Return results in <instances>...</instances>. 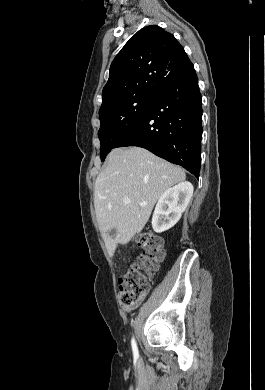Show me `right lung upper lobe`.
I'll return each mask as SVG.
<instances>
[{"mask_svg":"<svg viewBox=\"0 0 265 390\" xmlns=\"http://www.w3.org/2000/svg\"><path fill=\"white\" fill-rule=\"evenodd\" d=\"M191 65L172 34L157 25L144 27L111 63L100 110L137 94L156 95Z\"/></svg>","mask_w":265,"mask_h":390,"instance_id":"obj_1","label":"right lung upper lobe"}]
</instances>
